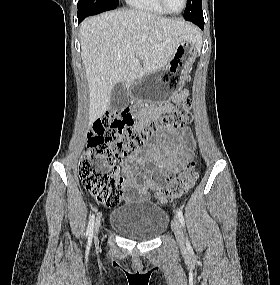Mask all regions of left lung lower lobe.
Masks as SVG:
<instances>
[{"instance_id":"left-lung-lower-lobe-1","label":"left lung lower lobe","mask_w":280,"mask_h":285,"mask_svg":"<svg viewBox=\"0 0 280 285\" xmlns=\"http://www.w3.org/2000/svg\"><path fill=\"white\" fill-rule=\"evenodd\" d=\"M196 25H198L201 29H203L204 26V18L198 20V21H193Z\"/></svg>"}]
</instances>
